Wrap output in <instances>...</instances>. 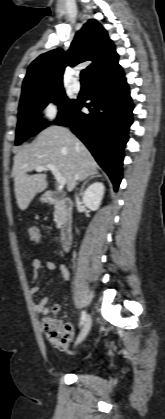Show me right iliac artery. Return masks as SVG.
<instances>
[{
	"label": "right iliac artery",
	"instance_id": "obj_1",
	"mask_svg": "<svg viewBox=\"0 0 165 419\" xmlns=\"http://www.w3.org/2000/svg\"><path fill=\"white\" fill-rule=\"evenodd\" d=\"M85 319H86V312H85V311H82V313H81L80 326H82V325H83V323H84Z\"/></svg>",
	"mask_w": 165,
	"mask_h": 419
}]
</instances>
